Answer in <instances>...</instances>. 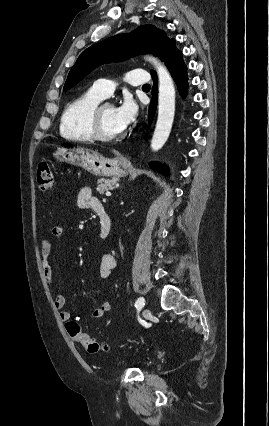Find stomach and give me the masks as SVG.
Here are the masks:
<instances>
[{"label": "stomach", "instance_id": "0dacf381", "mask_svg": "<svg viewBox=\"0 0 269 426\" xmlns=\"http://www.w3.org/2000/svg\"><path fill=\"white\" fill-rule=\"evenodd\" d=\"M52 155L57 162L78 165L96 176L125 177L130 171V166L120 157L107 159L84 148L67 149L57 147Z\"/></svg>", "mask_w": 269, "mask_h": 426}]
</instances>
